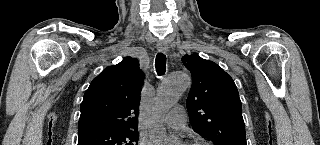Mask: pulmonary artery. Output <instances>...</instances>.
<instances>
[{
	"label": "pulmonary artery",
	"instance_id": "1",
	"mask_svg": "<svg viewBox=\"0 0 320 145\" xmlns=\"http://www.w3.org/2000/svg\"><path fill=\"white\" fill-rule=\"evenodd\" d=\"M164 122L171 128H181L186 123L185 110L182 106L174 107L164 118Z\"/></svg>",
	"mask_w": 320,
	"mask_h": 145
}]
</instances>
